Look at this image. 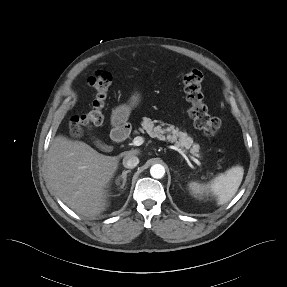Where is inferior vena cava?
Segmentation results:
<instances>
[{
  "mask_svg": "<svg viewBox=\"0 0 287 287\" xmlns=\"http://www.w3.org/2000/svg\"><path fill=\"white\" fill-rule=\"evenodd\" d=\"M139 164V158L132 154V153H128L124 156L123 159V166L125 168H135L137 165Z\"/></svg>",
  "mask_w": 287,
  "mask_h": 287,
  "instance_id": "602c4592",
  "label": "inferior vena cava"
}]
</instances>
